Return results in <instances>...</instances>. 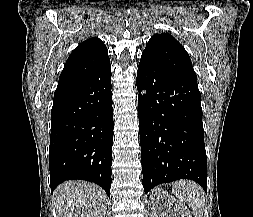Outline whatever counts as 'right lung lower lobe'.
I'll return each mask as SVG.
<instances>
[{"label":"right lung lower lobe","instance_id":"1","mask_svg":"<svg viewBox=\"0 0 253 217\" xmlns=\"http://www.w3.org/2000/svg\"><path fill=\"white\" fill-rule=\"evenodd\" d=\"M110 63L74 81L59 84L51 111V191L66 180L101 186L110 197L113 108Z\"/></svg>","mask_w":253,"mask_h":217}]
</instances>
